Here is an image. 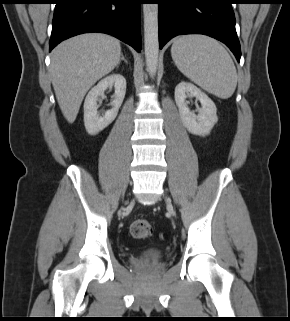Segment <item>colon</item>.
<instances>
[{
	"instance_id": "colon-1",
	"label": "colon",
	"mask_w": 290,
	"mask_h": 321,
	"mask_svg": "<svg viewBox=\"0 0 290 321\" xmlns=\"http://www.w3.org/2000/svg\"><path fill=\"white\" fill-rule=\"evenodd\" d=\"M130 232L134 238L147 239L152 235V227L147 220L137 218L132 221Z\"/></svg>"
}]
</instances>
